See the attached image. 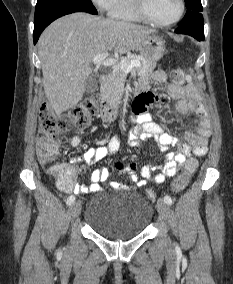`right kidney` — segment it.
Here are the masks:
<instances>
[{"label":"right kidney","mask_w":233,"mask_h":284,"mask_svg":"<svg viewBox=\"0 0 233 284\" xmlns=\"http://www.w3.org/2000/svg\"><path fill=\"white\" fill-rule=\"evenodd\" d=\"M79 143H80V139L78 137H74L72 139L71 144H72L73 147H76Z\"/></svg>","instance_id":"obj_1"}]
</instances>
